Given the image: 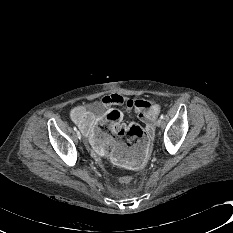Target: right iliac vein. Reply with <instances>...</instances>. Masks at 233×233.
Returning <instances> with one entry per match:
<instances>
[{
	"instance_id": "right-iliac-vein-1",
	"label": "right iliac vein",
	"mask_w": 233,
	"mask_h": 233,
	"mask_svg": "<svg viewBox=\"0 0 233 233\" xmlns=\"http://www.w3.org/2000/svg\"><path fill=\"white\" fill-rule=\"evenodd\" d=\"M76 135H77L78 139H81L82 136H81V133L79 131H76Z\"/></svg>"
}]
</instances>
